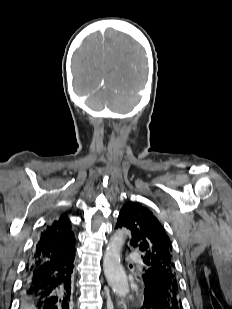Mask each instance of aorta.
<instances>
[{
  "instance_id": "1",
  "label": "aorta",
  "mask_w": 232,
  "mask_h": 309,
  "mask_svg": "<svg viewBox=\"0 0 232 309\" xmlns=\"http://www.w3.org/2000/svg\"><path fill=\"white\" fill-rule=\"evenodd\" d=\"M124 243V233L122 231L117 232L107 245L103 259V269L108 284L120 297H125L130 292L128 279L120 259Z\"/></svg>"
}]
</instances>
